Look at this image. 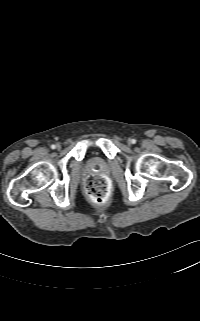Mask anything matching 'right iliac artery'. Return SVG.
Listing matches in <instances>:
<instances>
[{
    "mask_svg": "<svg viewBox=\"0 0 200 321\" xmlns=\"http://www.w3.org/2000/svg\"><path fill=\"white\" fill-rule=\"evenodd\" d=\"M56 148V146L55 145H51V149H55Z\"/></svg>",
    "mask_w": 200,
    "mask_h": 321,
    "instance_id": "obj_1",
    "label": "right iliac artery"
}]
</instances>
